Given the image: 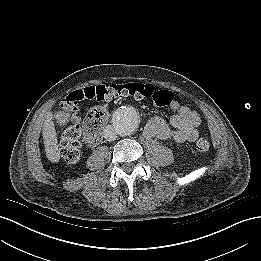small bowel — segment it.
<instances>
[{"instance_id":"small-bowel-1","label":"small bowel","mask_w":261,"mask_h":261,"mask_svg":"<svg viewBox=\"0 0 261 261\" xmlns=\"http://www.w3.org/2000/svg\"><path fill=\"white\" fill-rule=\"evenodd\" d=\"M168 106L176 112L170 122L158 116L151 118L145 127V135L149 138L177 143L194 142L199 134L197 128L201 125L199 112L174 98Z\"/></svg>"}]
</instances>
